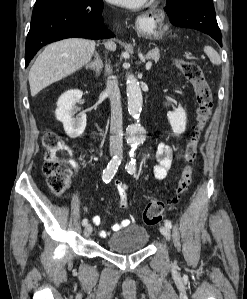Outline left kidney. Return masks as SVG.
<instances>
[{
  "instance_id": "left-kidney-1",
  "label": "left kidney",
  "mask_w": 247,
  "mask_h": 299,
  "mask_svg": "<svg viewBox=\"0 0 247 299\" xmlns=\"http://www.w3.org/2000/svg\"><path fill=\"white\" fill-rule=\"evenodd\" d=\"M168 119L171 128L176 135L185 132L187 117L186 112L183 109L179 110L177 113L172 114Z\"/></svg>"
}]
</instances>
